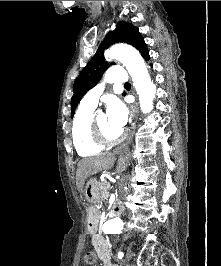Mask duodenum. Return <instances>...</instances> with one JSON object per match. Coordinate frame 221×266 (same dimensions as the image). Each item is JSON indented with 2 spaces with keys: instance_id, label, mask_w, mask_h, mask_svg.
<instances>
[{
  "instance_id": "obj_1",
  "label": "duodenum",
  "mask_w": 221,
  "mask_h": 266,
  "mask_svg": "<svg viewBox=\"0 0 221 266\" xmlns=\"http://www.w3.org/2000/svg\"><path fill=\"white\" fill-rule=\"evenodd\" d=\"M122 212V207L119 203H113L110 209V213L112 216H119ZM90 227H93V223L89 224Z\"/></svg>"
}]
</instances>
